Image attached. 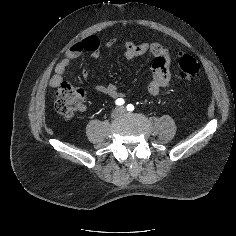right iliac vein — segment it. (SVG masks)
<instances>
[{
  "label": "right iliac vein",
  "mask_w": 236,
  "mask_h": 236,
  "mask_svg": "<svg viewBox=\"0 0 236 236\" xmlns=\"http://www.w3.org/2000/svg\"><path fill=\"white\" fill-rule=\"evenodd\" d=\"M124 113V108H116L112 113L111 116L112 118H117L121 116Z\"/></svg>",
  "instance_id": "right-iliac-vein-1"
}]
</instances>
